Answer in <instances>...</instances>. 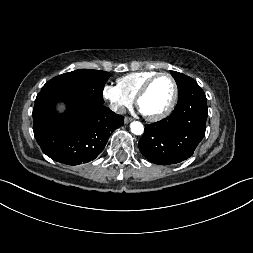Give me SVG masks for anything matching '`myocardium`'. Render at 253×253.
Listing matches in <instances>:
<instances>
[{"mask_svg": "<svg viewBox=\"0 0 253 253\" xmlns=\"http://www.w3.org/2000/svg\"><path fill=\"white\" fill-rule=\"evenodd\" d=\"M166 76L168 77L173 85V95L171 98V101L168 105V107L163 110L162 112L156 114V115H146L143 114L144 117L151 122H155V121H159L162 120L164 118H166L169 114H171V112L174 110L176 103H177V99H178V94H179V90H178V84L175 80V78L168 72H160L157 73L156 75H154L152 78H150L138 91V93L136 94L135 98H134V102L136 107L139 109V102L140 100L145 96V94L148 92L149 88L151 87V85L160 77Z\"/></svg>", "mask_w": 253, "mask_h": 253, "instance_id": "f54148a6", "label": "myocardium"}]
</instances>
